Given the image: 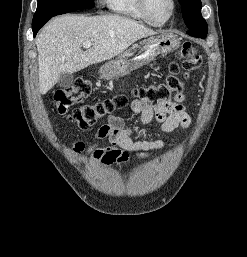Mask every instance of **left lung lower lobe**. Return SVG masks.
Instances as JSON below:
<instances>
[{
    "label": "left lung lower lobe",
    "instance_id": "left-lung-lower-lobe-1",
    "mask_svg": "<svg viewBox=\"0 0 247 257\" xmlns=\"http://www.w3.org/2000/svg\"><path fill=\"white\" fill-rule=\"evenodd\" d=\"M188 35L193 36V37H198L204 39L206 35L200 34V33H195V32H187Z\"/></svg>",
    "mask_w": 247,
    "mask_h": 257
}]
</instances>
